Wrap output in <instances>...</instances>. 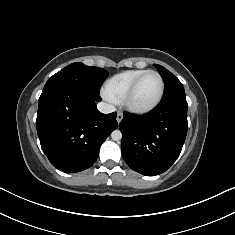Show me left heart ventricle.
Returning <instances> with one entry per match:
<instances>
[{
	"instance_id": "b2bd125f",
	"label": "left heart ventricle",
	"mask_w": 235,
	"mask_h": 235,
	"mask_svg": "<svg viewBox=\"0 0 235 235\" xmlns=\"http://www.w3.org/2000/svg\"><path fill=\"white\" fill-rule=\"evenodd\" d=\"M159 91V78L155 74H148L138 84L131 103L138 107L148 106L156 100Z\"/></svg>"
}]
</instances>
